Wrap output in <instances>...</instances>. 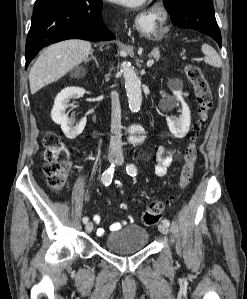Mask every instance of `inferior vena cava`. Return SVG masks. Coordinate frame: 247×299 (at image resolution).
<instances>
[{"label": "inferior vena cava", "mask_w": 247, "mask_h": 299, "mask_svg": "<svg viewBox=\"0 0 247 299\" xmlns=\"http://www.w3.org/2000/svg\"><path fill=\"white\" fill-rule=\"evenodd\" d=\"M112 101V113H111V138L109 151L112 154L122 152V140H121V107L119 102L118 93L113 91L111 93Z\"/></svg>", "instance_id": "obj_1"}]
</instances>
